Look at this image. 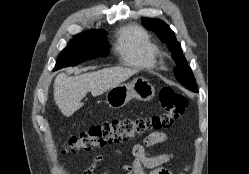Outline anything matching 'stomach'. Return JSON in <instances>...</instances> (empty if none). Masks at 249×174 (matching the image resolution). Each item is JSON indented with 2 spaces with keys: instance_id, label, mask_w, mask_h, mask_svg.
<instances>
[{
  "instance_id": "1",
  "label": "stomach",
  "mask_w": 249,
  "mask_h": 174,
  "mask_svg": "<svg viewBox=\"0 0 249 174\" xmlns=\"http://www.w3.org/2000/svg\"><path fill=\"white\" fill-rule=\"evenodd\" d=\"M155 89L145 78L139 77L130 83H120L108 90L106 101L112 108L126 105L132 98L149 101L153 98Z\"/></svg>"
}]
</instances>
